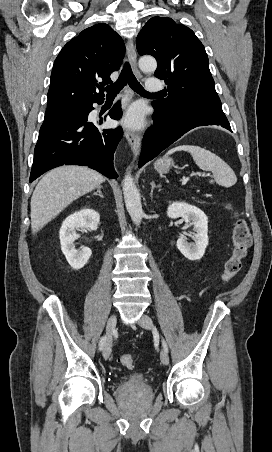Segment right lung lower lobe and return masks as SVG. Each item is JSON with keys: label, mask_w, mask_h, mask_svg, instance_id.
I'll list each match as a JSON object with an SVG mask.
<instances>
[{"label": "right lung lower lobe", "mask_w": 272, "mask_h": 452, "mask_svg": "<svg viewBox=\"0 0 272 452\" xmlns=\"http://www.w3.org/2000/svg\"><path fill=\"white\" fill-rule=\"evenodd\" d=\"M92 110V104H88L74 112L45 115L34 150L30 182L64 164L88 166L108 178L118 177L113 157L123 131L98 129L96 122L88 121ZM121 114L119 103L109 112L112 119H119Z\"/></svg>", "instance_id": "98d812e1"}]
</instances>
